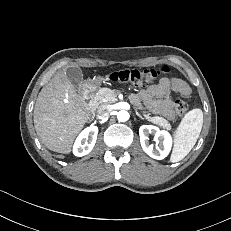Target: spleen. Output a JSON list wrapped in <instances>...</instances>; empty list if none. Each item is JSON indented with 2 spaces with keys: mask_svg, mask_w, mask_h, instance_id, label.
Segmentation results:
<instances>
[{
  "mask_svg": "<svg viewBox=\"0 0 231 231\" xmlns=\"http://www.w3.org/2000/svg\"><path fill=\"white\" fill-rule=\"evenodd\" d=\"M203 125V112L199 108L185 114L179 126L174 131L175 145L170 161H181L194 147Z\"/></svg>",
  "mask_w": 231,
  "mask_h": 231,
  "instance_id": "3e777b00",
  "label": "spleen"
}]
</instances>
